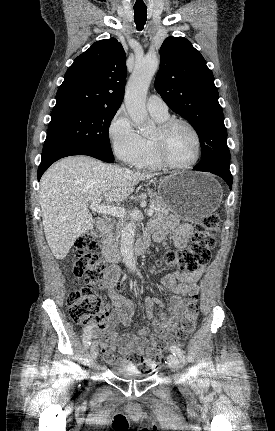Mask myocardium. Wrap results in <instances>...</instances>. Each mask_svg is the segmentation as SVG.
<instances>
[{"label":"myocardium","instance_id":"myocardium-1","mask_svg":"<svg viewBox=\"0 0 275 431\" xmlns=\"http://www.w3.org/2000/svg\"><path fill=\"white\" fill-rule=\"evenodd\" d=\"M177 125L186 126L194 135L196 141V154L187 164L174 163L167 154V140L172 129ZM154 153L160 164L168 169L183 170L192 168L199 161L202 154V141L199 132L189 121L181 118H169L159 124L155 135L152 137Z\"/></svg>","mask_w":275,"mask_h":431}]
</instances>
